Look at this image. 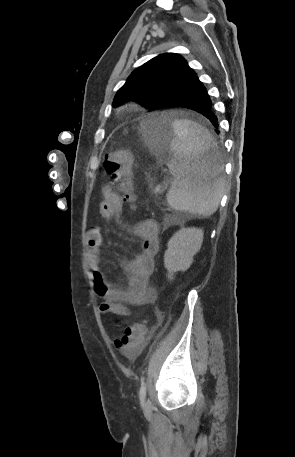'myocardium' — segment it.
I'll return each mask as SVG.
<instances>
[{"mask_svg":"<svg viewBox=\"0 0 295 457\" xmlns=\"http://www.w3.org/2000/svg\"><path fill=\"white\" fill-rule=\"evenodd\" d=\"M130 105H125L123 108L124 109H129Z\"/></svg>","mask_w":295,"mask_h":457,"instance_id":"1","label":"myocardium"}]
</instances>
